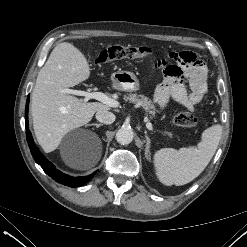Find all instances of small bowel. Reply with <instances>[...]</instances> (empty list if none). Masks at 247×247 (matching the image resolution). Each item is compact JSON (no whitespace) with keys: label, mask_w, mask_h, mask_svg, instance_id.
Listing matches in <instances>:
<instances>
[{"label":"small bowel","mask_w":247,"mask_h":247,"mask_svg":"<svg viewBox=\"0 0 247 247\" xmlns=\"http://www.w3.org/2000/svg\"><path fill=\"white\" fill-rule=\"evenodd\" d=\"M168 59L174 63L163 60L157 64L163 68L164 80L157 86L154 100L160 109L173 100L192 110L207 93L206 67L189 52H171Z\"/></svg>","instance_id":"small-bowel-1"}]
</instances>
